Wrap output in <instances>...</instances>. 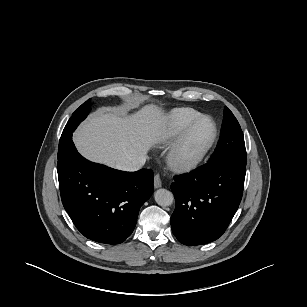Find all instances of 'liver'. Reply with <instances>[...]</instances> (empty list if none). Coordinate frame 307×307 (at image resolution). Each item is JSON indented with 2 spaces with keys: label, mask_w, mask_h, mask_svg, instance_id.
<instances>
[{
  "label": "liver",
  "mask_w": 307,
  "mask_h": 307,
  "mask_svg": "<svg viewBox=\"0 0 307 307\" xmlns=\"http://www.w3.org/2000/svg\"><path fill=\"white\" fill-rule=\"evenodd\" d=\"M166 132V116L155 105L127 115L99 110L75 132L73 140L85 158L117 168L147 157Z\"/></svg>",
  "instance_id": "1"
}]
</instances>
